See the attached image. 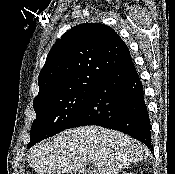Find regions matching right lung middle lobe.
I'll use <instances>...</instances> for the list:
<instances>
[{"label": "right lung middle lobe", "mask_w": 175, "mask_h": 174, "mask_svg": "<svg viewBox=\"0 0 175 174\" xmlns=\"http://www.w3.org/2000/svg\"><path fill=\"white\" fill-rule=\"evenodd\" d=\"M95 85H86L33 103L36 119L28 148L68 128L84 106Z\"/></svg>", "instance_id": "1"}]
</instances>
